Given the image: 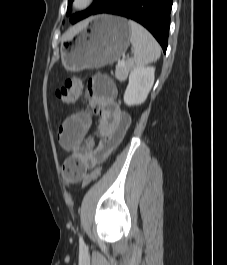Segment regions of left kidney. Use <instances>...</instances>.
<instances>
[{
    "label": "left kidney",
    "mask_w": 227,
    "mask_h": 265,
    "mask_svg": "<svg viewBox=\"0 0 227 265\" xmlns=\"http://www.w3.org/2000/svg\"><path fill=\"white\" fill-rule=\"evenodd\" d=\"M154 67H135L129 75V83L124 93V102L128 106L142 104L154 83Z\"/></svg>",
    "instance_id": "5707ae66"
}]
</instances>
